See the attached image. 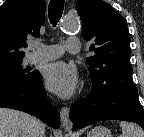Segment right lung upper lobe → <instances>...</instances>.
<instances>
[{"label": "right lung upper lobe", "mask_w": 144, "mask_h": 137, "mask_svg": "<svg viewBox=\"0 0 144 137\" xmlns=\"http://www.w3.org/2000/svg\"><path fill=\"white\" fill-rule=\"evenodd\" d=\"M44 19V0H7L0 7V67L23 59L27 36L38 37Z\"/></svg>", "instance_id": "obj_1"}]
</instances>
